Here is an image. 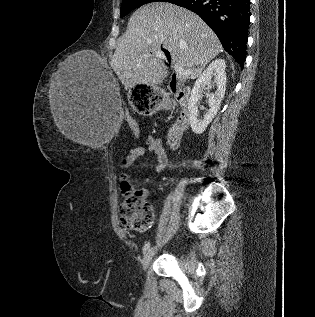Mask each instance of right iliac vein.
Masks as SVG:
<instances>
[{
  "label": "right iliac vein",
  "instance_id": "obj_1",
  "mask_svg": "<svg viewBox=\"0 0 315 317\" xmlns=\"http://www.w3.org/2000/svg\"><path fill=\"white\" fill-rule=\"evenodd\" d=\"M154 253H155V249L154 248H150V249H148L145 252V254L143 256V259H142V268H143V270H146L147 267L149 266V264H150V262H151V260L153 258Z\"/></svg>",
  "mask_w": 315,
  "mask_h": 317
}]
</instances>
